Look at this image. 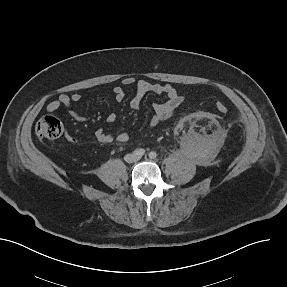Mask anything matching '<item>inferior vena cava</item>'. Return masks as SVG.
<instances>
[{
    "label": "inferior vena cava",
    "instance_id": "602c4592",
    "mask_svg": "<svg viewBox=\"0 0 287 287\" xmlns=\"http://www.w3.org/2000/svg\"><path fill=\"white\" fill-rule=\"evenodd\" d=\"M138 158L139 157H137V156H133V157H130V158H126V161L127 162H134V161L138 160Z\"/></svg>",
    "mask_w": 287,
    "mask_h": 287
}]
</instances>
